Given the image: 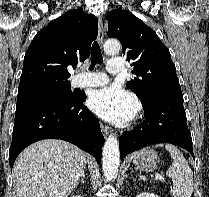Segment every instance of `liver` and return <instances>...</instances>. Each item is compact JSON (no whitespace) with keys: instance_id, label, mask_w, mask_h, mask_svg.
Instances as JSON below:
<instances>
[{"instance_id":"6515ba94","label":"liver","mask_w":209,"mask_h":197,"mask_svg":"<svg viewBox=\"0 0 209 197\" xmlns=\"http://www.w3.org/2000/svg\"><path fill=\"white\" fill-rule=\"evenodd\" d=\"M86 163L87 154L69 142H35L21 152L13 168L17 197H68Z\"/></svg>"}]
</instances>
